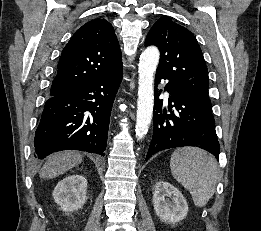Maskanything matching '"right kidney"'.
<instances>
[{"mask_svg":"<svg viewBox=\"0 0 261 231\" xmlns=\"http://www.w3.org/2000/svg\"><path fill=\"white\" fill-rule=\"evenodd\" d=\"M87 180L84 176L74 174L65 177L55 187L53 198L65 212L76 211L85 204Z\"/></svg>","mask_w":261,"mask_h":231,"instance_id":"obj_1","label":"right kidney"}]
</instances>
